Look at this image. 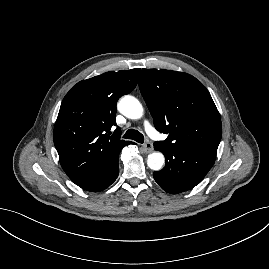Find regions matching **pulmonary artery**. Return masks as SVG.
I'll use <instances>...</instances> for the list:
<instances>
[{"mask_svg": "<svg viewBox=\"0 0 269 269\" xmlns=\"http://www.w3.org/2000/svg\"><path fill=\"white\" fill-rule=\"evenodd\" d=\"M145 129L147 133L149 134L150 137L156 138L157 137V132L155 129L149 124V122L145 121L144 122Z\"/></svg>", "mask_w": 269, "mask_h": 269, "instance_id": "e3ab8cb5", "label": "pulmonary artery"}]
</instances>
